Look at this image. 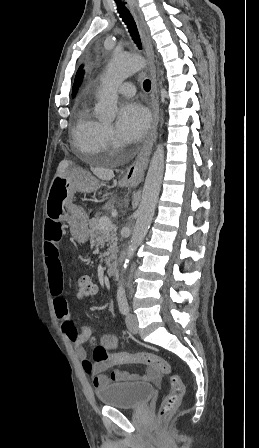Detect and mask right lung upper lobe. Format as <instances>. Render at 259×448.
Masks as SVG:
<instances>
[{
  "mask_svg": "<svg viewBox=\"0 0 259 448\" xmlns=\"http://www.w3.org/2000/svg\"><path fill=\"white\" fill-rule=\"evenodd\" d=\"M83 73H84V71L82 70V66H81V67L79 68L77 74H76V77H75V81H74V85H73V90H72V91H73L72 96H75V94H76V91H77V89H78V87H79V85H80V83H81V81H82Z\"/></svg>",
  "mask_w": 259,
  "mask_h": 448,
  "instance_id": "right-lung-upper-lobe-1",
  "label": "right lung upper lobe"
}]
</instances>
